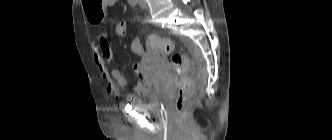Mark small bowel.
Returning <instances> with one entry per match:
<instances>
[{
	"instance_id": "small-bowel-1",
	"label": "small bowel",
	"mask_w": 332,
	"mask_h": 140,
	"mask_svg": "<svg viewBox=\"0 0 332 140\" xmlns=\"http://www.w3.org/2000/svg\"><path fill=\"white\" fill-rule=\"evenodd\" d=\"M119 0H105L104 12L108 11L114 5H116ZM88 20L93 24H98L99 22ZM131 50L137 55H143L145 53L142 41L140 38H135L131 42ZM93 54L97 66L100 69L103 79L107 83V92L110 94H117V88H126L129 86L128 80L125 75L117 68H112L109 71L108 67L112 65L116 60V55L114 54L110 43L109 35L105 31H101L93 44ZM134 71L138 75L139 80L137 83L131 87L134 94L139 96H146L151 91V84L144 74L143 68L140 64L134 66ZM134 94H127L126 101L131 102L134 100Z\"/></svg>"
}]
</instances>
